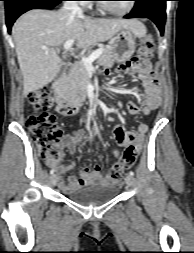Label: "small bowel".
I'll use <instances>...</instances> for the list:
<instances>
[{
  "mask_svg": "<svg viewBox=\"0 0 194 253\" xmlns=\"http://www.w3.org/2000/svg\"><path fill=\"white\" fill-rule=\"evenodd\" d=\"M120 71L137 74L145 93V103L143 108H140L135 103L128 104V111L132 115L139 113L144 116H149L150 113L157 109L161 104V93L158 81L152 74H158V69H151L150 63L146 59H131L122 64L119 68ZM149 127L146 123L138 125L135 132L127 130L124 126L118 124L114 127V138L119 146L129 148L130 146L136 147L139 151L142 147V142L145 134L148 132ZM86 135L83 132H76L73 136H66L63 138L62 145L66 147L69 154L76 151L77 146L85 139ZM115 156H119V151L114 150ZM49 166L54 167L58 172L59 186L65 193H70L84 185L97 182L101 184L118 183L112 177L111 173H103L98 165L93 171L88 167H83L80 171V177L77 178L73 175L67 174L71 171L72 167L69 165H58L57 163L47 160Z\"/></svg>",
  "mask_w": 194,
  "mask_h": 253,
  "instance_id": "obj_1",
  "label": "small bowel"
}]
</instances>
